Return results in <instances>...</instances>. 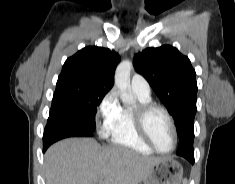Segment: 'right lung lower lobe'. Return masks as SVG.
I'll use <instances>...</instances> for the list:
<instances>
[{
  "instance_id": "obj_1",
  "label": "right lung lower lobe",
  "mask_w": 235,
  "mask_h": 184,
  "mask_svg": "<svg viewBox=\"0 0 235 184\" xmlns=\"http://www.w3.org/2000/svg\"><path fill=\"white\" fill-rule=\"evenodd\" d=\"M67 134H90L88 129L79 121L63 112L50 110L49 119L43 135V152L54 142L63 139Z\"/></svg>"
}]
</instances>
